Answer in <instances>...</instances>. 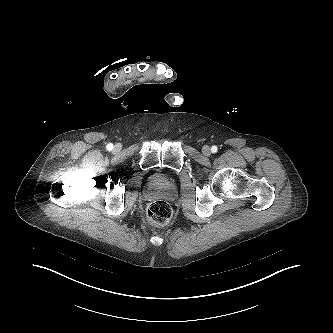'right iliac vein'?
Returning a JSON list of instances; mask_svg holds the SVG:
<instances>
[{"label": "right iliac vein", "instance_id": "obj_1", "mask_svg": "<svg viewBox=\"0 0 333 333\" xmlns=\"http://www.w3.org/2000/svg\"><path fill=\"white\" fill-rule=\"evenodd\" d=\"M120 148H121L120 145H115V146H114V151H119Z\"/></svg>", "mask_w": 333, "mask_h": 333}]
</instances>
